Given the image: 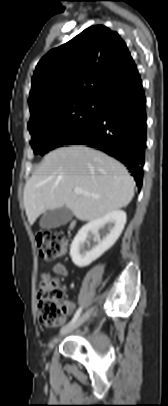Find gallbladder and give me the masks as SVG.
Wrapping results in <instances>:
<instances>
[{
    "mask_svg": "<svg viewBox=\"0 0 168 406\" xmlns=\"http://www.w3.org/2000/svg\"><path fill=\"white\" fill-rule=\"evenodd\" d=\"M73 213L66 206L49 210L43 214L39 225L41 228L50 229L67 224L72 219Z\"/></svg>",
    "mask_w": 168,
    "mask_h": 406,
    "instance_id": "bac80fb5",
    "label": "gallbladder"
}]
</instances>
